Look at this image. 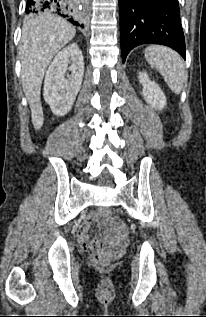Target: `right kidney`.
Listing matches in <instances>:
<instances>
[{
	"mask_svg": "<svg viewBox=\"0 0 206 317\" xmlns=\"http://www.w3.org/2000/svg\"><path fill=\"white\" fill-rule=\"evenodd\" d=\"M83 74L84 59L76 43L55 56L46 72L43 90L44 99L54 114L63 116L69 112L81 88Z\"/></svg>",
	"mask_w": 206,
	"mask_h": 317,
	"instance_id": "right-kidney-1",
	"label": "right kidney"
}]
</instances>
